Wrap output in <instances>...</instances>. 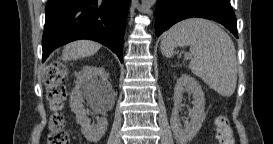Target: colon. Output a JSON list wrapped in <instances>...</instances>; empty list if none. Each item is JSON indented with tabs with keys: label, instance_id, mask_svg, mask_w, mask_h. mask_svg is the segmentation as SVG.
<instances>
[{
	"label": "colon",
	"instance_id": "1",
	"mask_svg": "<svg viewBox=\"0 0 273 144\" xmlns=\"http://www.w3.org/2000/svg\"><path fill=\"white\" fill-rule=\"evenodd\" d=\"M65 67L60 63L51 64L45 72L44 79L47 85V98L53 110L50 120L51 132L48 136L49 144H67L70 136L64 129V117L60 112L66 99L64 80ZM216 133L219 144H233V131L226 116L221 115L216 119Z\"/></svg>",
	"mask_w": 273,
	"mask_h": 144
}]
</instances>
